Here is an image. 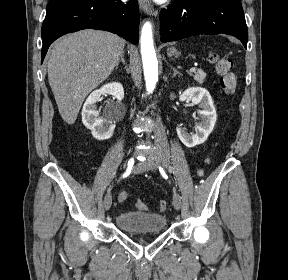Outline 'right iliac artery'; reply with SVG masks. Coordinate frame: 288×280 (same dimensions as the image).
Masks as SVG:
<instances>
[{"label":"right iliac artery","mask_w":288,"mask_h":280,"mask_svg":"<svg viewBox=\"0 0 288 280\" xmlns=\"http://www.w3.org/2000/svg\"><path fill=\"white\" fill-rule=\"evenodd\" d=\"M128 164H134V159L131 158V159L128 161Z\"/></svg>","instance_id":"1"}]
</instances>
